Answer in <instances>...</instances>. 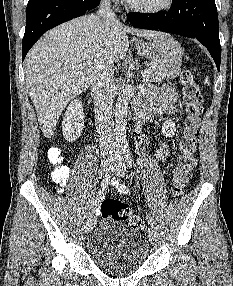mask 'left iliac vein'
I'll return each instance as SVG.
<instances>
[{
    "label": "left iliac vein",
    "instance_id": "4c4485c4",
    "mask_svg": "<svg viewBox=\"0 0 233 286\" xmlns=\"http://www.w3.org/2000/svg\"><path fill=\"white\" fill-rule=\"evenodd\" d=\"M117 163L114 165V173L117 176H124L125 172H126V167L125 164L123 162V158L122 156H118L116 158ZM148 238L149 241L151 242L152 245H156L157 243V232L154 228L150 227L148 230Z\"/></svg>",
    "mask_w": 233,
    "mask_h": 286
}]
</instances>
